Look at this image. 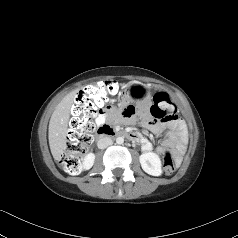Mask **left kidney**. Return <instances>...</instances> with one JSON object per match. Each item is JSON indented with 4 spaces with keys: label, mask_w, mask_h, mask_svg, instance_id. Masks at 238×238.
I'll return each instance as SVG.
<instances>
[{
    "label": "left kidney",
    "mask_w": 238,
    "mask_h": 238,
    "mask_svg": "<svg viewBox=\"0 0 238 238\" xmlns=\"http://www.w3.org/2000/svg\"><path fill=\"white\" fill-rule=\"evenodd\" d=\"M142 169L153 176H160L162 174L160 157L154 152H145L139 157Z\"/></svg>",
    "instance_id": "obj_1"
}]
</instances>
